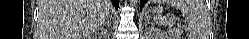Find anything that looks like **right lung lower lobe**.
Instances as JSON below:
<instances>
[{
  "label": "right lung lower lobe",
  "mask_w": 249,
  "mask_h": 39,
  "mask_svg": "<svg viewBox=\"0 0 249 39\" xmlns=\"http://www.w3.org/2000/svg\"><path fill=\"white\" fill-rule=\"evenodd\" d=\"M113 5L118 9L119 6V0H112Z\"/></svg>",
  "instance_id": "obj_1"
}]
</instances>
